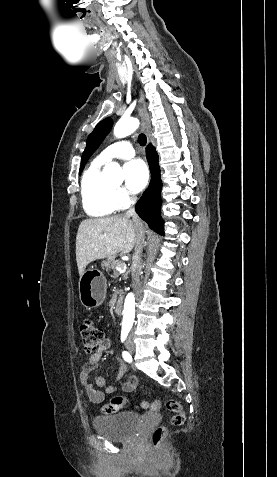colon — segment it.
<instances>
[{"mask_svg": "<svg viewBox=\"0 0 277 477\" xmlns=\"http://www.w3.org/2000/svg\"><path fill=\"white\" fill-rule=\"evenodd\" d=\"M80 335L83 349L87 353L94 352L102 340L101 329L89 318L82 320L80 324ZM124 405L125 403L122 397H114L105 406V411L108 413H115L118 412ZM160 405L161 403L159 400L144 403V407L150 411L159 410ZM165 406L166 409L173 414L171 423L176 426L183 424L185 415L181 404L177 400L169 399L166 401ZM165 436L166 428L163 426L157 427L151 435V442L153 446L159 447Z\"/></svg>", "mask_w": 277, "mask_h": 477, "instance_id": "1", "label": "colon"}]
</instances>
